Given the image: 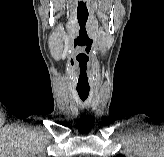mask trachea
<instances>
[{
  "label": "trachea",
  "instance_id": "trachea-1",
  "mask_svg": "<svg viewBox=\"0 0 164 157\" xmlns=\"http://www.w3.org/2000/svg\"><path fill=\"white\" fill-rule=\"evenodd\" d=\"M90 89H78V95L81 98V100L85 101L89 95Z\"/></svg>",
  "mask_w": 164,
  "mask_h": 157
}]
</instances>
